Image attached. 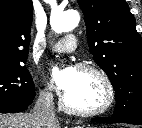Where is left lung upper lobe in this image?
I'll list each match as a JSON object with an SVG mask.
<instances>
[{
  "instance_id": "left-lung-upper-lobe-1",
  "label": "left lung upper lobe",
  "mask_w": 142,
  "mask_h": 128,
  "mask_svg": "<svg viewBox=\"0 0 142 128\" xmlns=\"http://www.w3.org/2000/svg\"><path fill=\"white\" fill-rule=\"evenodd\" d=\"M93 59L116 93L114 116L142 114V42L124 0H78Z\"/></svg>"
}]
</instances>
